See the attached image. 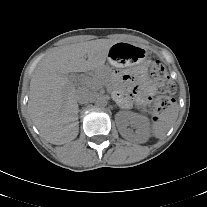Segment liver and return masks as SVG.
I'll return each instance as SVG.
<instances>
[{"label": "liver", "mask_w": 207, "mask_h": 207, "mask_svg": "<svg viewBox=\"0 0 207 207\" xmlns=\"http://www.w3.org/2000/svg\"><path fill=\"white\" fill-rule=\"evenodd\" d=\"M116 43L97 39L58 47L38 64L30 81L28 112L46 141L62 145L77 137L78 89L70 73L101 69Z\"/></svg>", "instance_id": "6515ba94"}]
</instances>
